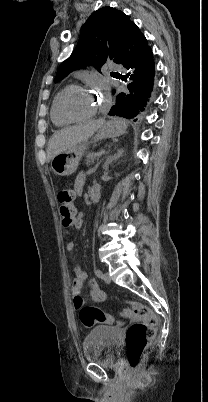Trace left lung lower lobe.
I'll return each mask as SVG.
<instances>
[{
  "instance_id": "obj_1",
  "label": "left lung lower lobe",
  "mask_w": 208,
  "mask_h": 402,
  "mask_svg": "<svg viewBox=\"0 0 208 402\" xmlns=\"http://www.w3.org/2000/svg\"><path fill=\"white\" fill-rule=\"evenodd\" d=\"M116 63L127 70L129 84L124 92L115 94L111 116L134 118L143 110L153 89L155 75L152 49L145 36L133 23ZM115 93V91H114Z\"/></svg>"
}]
</instances>
